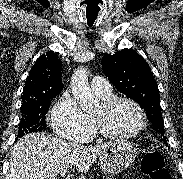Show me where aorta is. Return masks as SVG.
Wrapping results in <instances>:
<instances>
[{
    "label": "aorta",
    "instance_id": "762f6f07",
    "mask_svg": "<svg viewBox=\"0 0 183 179\" xmlns=\"http://www.w3.org/2000/svg\"><path fill=\"white\" fill-rule=\"evenodd\" d=\"M71 89L74 98L83 111H91L98 106V100L93 95L88 82L87 70L78 68L71 78Z\"/></svg>",
    "mask_w": 183,
    "mask_h": 179
}]
</instances>
